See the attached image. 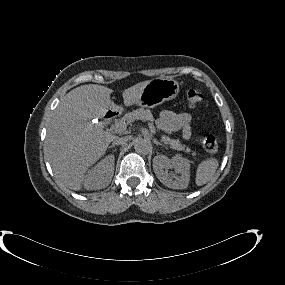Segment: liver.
Returning <instances> with one entry per match:
<instances>
[{
	"label": "liver",
	"instance_id": "1",
	"mask_svg": "<svg viewBox=\"0 0 285 285\" xmlns=\"http://www.w3.org/2000/svg\"><path fill=\"white\" fill-rule=\"evenodd\" d=\"M148 82L125 89L124 106L137 104ZM112 92L97 84L79 86L65 95L49 122L45 155L57 179L71 190L82 188L87 170L104 155L115 138L95 127L91 120L117 108L110 99Z\"/></svg>",
	"mask_w": 285,
	"mask_h": 285
}]
</instances>
